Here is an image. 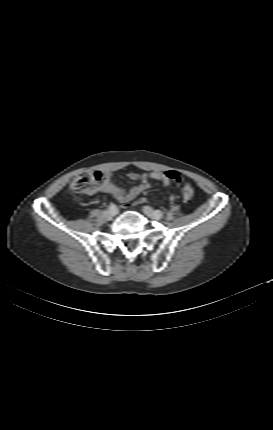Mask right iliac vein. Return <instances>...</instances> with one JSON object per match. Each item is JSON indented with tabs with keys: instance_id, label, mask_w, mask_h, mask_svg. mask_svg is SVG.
Listing matches in <instances>:
<instances>
[{
	"instance_id": "1",
	"label": "right iliac vein",
	"mask_w": 273,
	"mask_h": 430,
	"mask_svg": "<svg viewBox=\"0 0 273 430\" xmlns=\"http://www.w3.org/2000/svg\"><path fill=\"white\" fill-rule=\"evenodd\" d=\"M118 214V209H109L108 211H106V215L109 217H115Z\"/></svg>"
}]
</instances>
